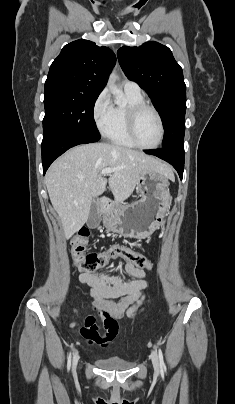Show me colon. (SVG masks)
Segmentation results:
<instances>
[{"mask_svg":"<svg viewBox=\"0 0 235 404\" xmlns=\"http://www.w3.org/2000/svg\"><path fill=\"white\" fill-rule=\"evenodd\" d=\"M89 230L80 229L78 233L71 239V257L74 264L88 273H93L104 268L111 259L121 258L125 262L130 263L138 268H152V262L146 256L135 252L129 247L114 244L104 251L86 252V244L89 239ZM114 326L113 320L102 315L101 319L90 315L85 320V328L91 331L103 329L106 339H111L115 335L112 330Z\"/></svg>","mask_w":235,"mask_h":404,"instance_id":"colon-1","label":"colon"}]
</instances>
